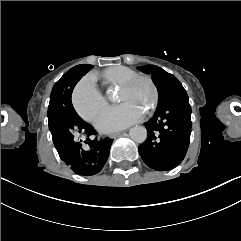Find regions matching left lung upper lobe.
<instances>
[{"instance_id":"left-lung-upper-lobe-1","label":"left lung upper lobe","mask_w":241,"mask_h":241,"mask_svg":"<svg viewBox=\"0 0 241 241\" xmlns=\"http://www.w3.org/2000/svg\"><path fill=\"white\" fill-rule=\"evenodd\" d=\"M138 69L144 73L151 74L153 82L158 90V105L176 93L186 92L180 81L162 68L154 65H146L143 67H138Z\"/></svg>"}]
</instances>
